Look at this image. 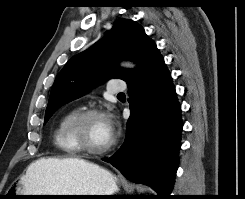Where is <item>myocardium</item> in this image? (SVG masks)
<instances>
[{"label":"myocardium","instance_id":"myocardium-1","mask_svg":"<svg viewBox=\"0 0 245 199\" xmlns=\"http://www.w3.org/2000/svg\"><path fill=\"white\" fill-rule=\"evenodd\" d=\"M93 116H103L108 118L105 111L98 108H89L77 112L69 124V135L73 137L74 146L79 150V152H85L90 155H102L109 152L115 145L116 139L112 136V139L108 145L102 148H92L84 143L81 138V133L84 123Z\"/></svg>","mask_w":245,"mask_h":199}]
</instances>
